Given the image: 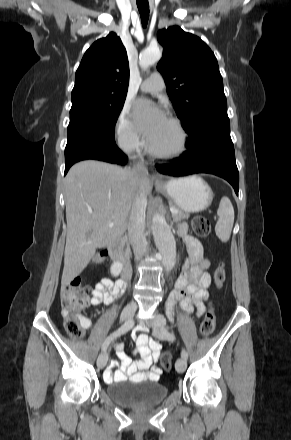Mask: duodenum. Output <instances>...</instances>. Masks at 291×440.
Listing matches in <instances>:
<instances>
[{"mask_svg": "<svg viewBox=\"0 0 291 440\" xmlns=\"http://www.w3.org/2000/svg\"><path fill=\"white\" fill-rule=\"evenodd\" d=\"M114 263L119 267L121 281L123 284L130 277V267L126 259V241L124 239H115L108 248Z\"/></svg>", "mask_w": 291, "mask_h": 440, "instance_id": "duodenum-1", "label": "duodenum"}]
</instances>
